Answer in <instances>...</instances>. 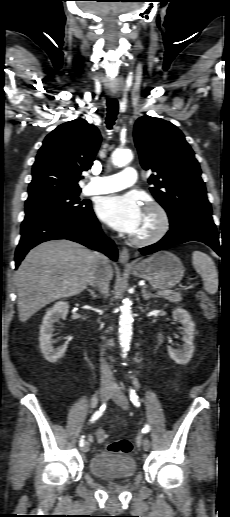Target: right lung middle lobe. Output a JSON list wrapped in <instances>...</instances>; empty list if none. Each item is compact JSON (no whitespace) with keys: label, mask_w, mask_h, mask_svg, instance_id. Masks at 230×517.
<instances>
[{"label":"right lung middle lobe","mask_w":230,"mask_h":517,"mask_svg":"<svg viewBox=\"0 0 230 517\" xmlns=\"http://www.w3.org/2000/svg\"><path fill=\"white\" fill-rule=\"evenodd\" d=\"M80 191L52 195L36 200L26 201L25 213L42 211H59L64 213H82L90 210V202L79 201Z\"/></svg>","instance_id":"obj_1"}]
</instances>
